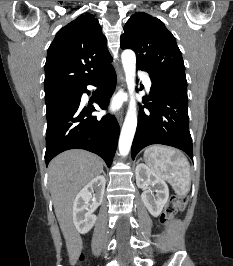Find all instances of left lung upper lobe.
<instances>
[{
	"label": "left lung upper lobe",
	"instance_id": "obj_1",
	"mask_svg": "<svg viewBox=\"0 0 233 266\" xmlns=\"http://www.w3.org/2000/svg\"><path fill=\"white\" fill-rule=\"evenodd\" d=\"M120 40V47L133 49L137 67L147 71L150 76H185V66L176 40L159 19L146 13H135L126 22Z\"/></svg>",
	"mask_w": 233,
	"mask_h": 266
}]
</instances>
